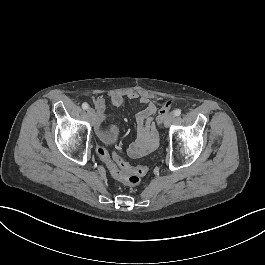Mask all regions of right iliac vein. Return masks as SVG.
<instances>
[{
  "label": "right iliac vein",
  "instance_id": "right-iliac-vein-1",
  "mask_svg": "<svg viewBox=\"0 0 265 265\" xmlns=\"http://www.w3.org/2000/svg\"><path fill=\"white\" fill-rule=\"evenodd\" d=\"M87 114H88L90 120H93L94 115H95V111H94V109H93V108H88V110H87Z\"/></svg>",
  "mask_w": 265,
  "mask_h": 265
}]
</instances>
